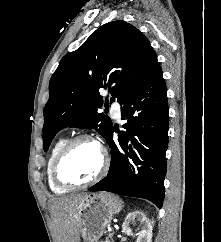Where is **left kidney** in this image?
Returning <instances> with one entry per match:
<instances>
[{
    "label": "left kidney",
    "mask_w": 221,
    "mask_h": 242,
    "mask_svg": "<svg viewBox=\"0 0 221 242\" xmlns=\"http://www.w3.org/2000/svg\"><path fill=\"white\" fill-rule=\"evenodd\" d=\"M137 219L142 225V230L138 231L136 242H151L152 240V225L151 221L141 211H134L126 216V219L122 225V231L128 236H132L131 224H135Z\"/></svg>",
    "instance_id": "1"
}]
</instances>
